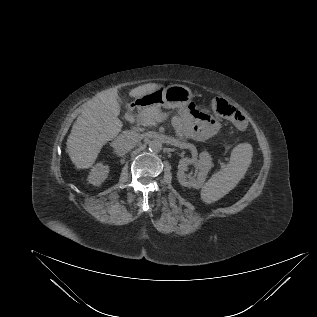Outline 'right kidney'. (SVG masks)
<instances>
[{
    "label": "right kidney",
    "mask_w": 317,
    "mask_h": 317,
    "mask_svg": "<svg viewBox=\"0 0 317 317\" xmlns=\"http://www.w3.org/2000/svg\"><path fill=\"white\" fill-rule=\"evenodd\" d=\"M109 166L97 163L88 176L89 183L99 186L108 176Z\"/></svg>",
    "instance_id": "right-kidney-1"
}]
</instances>
